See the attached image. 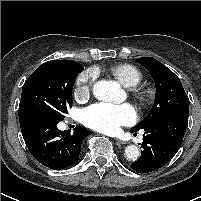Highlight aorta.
<instances>
[{
	"label": "aorta",
	"mask_w": 201,
	"mask_h": 201,
	"mask_svg": "<svg viewBox=\"0 0 201 201\" xmlns=\"http://www.w3.org/2000/svg\"><path fill=\"white\" fill-rule=\"evenodd\" d=\"M119 93V85L112 81L101 80L93 86V94L100 101H113ZM125 156L128 160H137L140 156L139 148L133 144L128 145L125 148Z\"/></svg>",
	"instance_id": "obj_1"
}]
</instances>
